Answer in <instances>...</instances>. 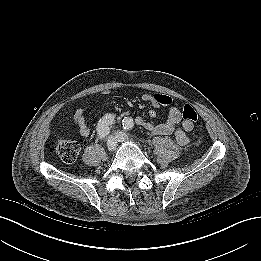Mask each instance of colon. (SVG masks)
<instances>
[{
    "mask_svg": "<svg viewBox=\"0 0 261 261\" xmlns=\"http://www.w3.org/2000/svg\"><path fill=\"white\" fill-rule=\"evenodd\" d=\"M156 97L162 104L167 105L171 103V98L168 96L157 94ZM183 117L186 121L191 123H196L199 119L196 109L190 104L184 105ZM56 152L63 162L70 164L77 159L80 152V146L73 141L60 140L57 143Z\"/></svg>",
    "mask_w": 261,
    "mask_h": 261,
    "instance_id": "colon-1",
    "label": "colon"
}]
</instances>
